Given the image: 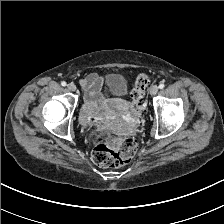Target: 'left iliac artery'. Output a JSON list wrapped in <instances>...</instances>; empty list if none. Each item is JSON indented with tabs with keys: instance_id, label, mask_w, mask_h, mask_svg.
<instances>
[{
	"instance_id": "left-iliac-artery-1",
	"label": "left iliac artery",
	"mask_w": 224,
	"mask_h": 224,
	"mask_svg": "<svg viewBox=\"0 0 224 224\" xmlns=\"http://www.w3.org/2000/svg\"><path fill=\"white\" fill-rule=\"evenodd\" d=\"M165 87V85L163 84V83H161L160 85H159V88L160 89H163Z\"/></svg>"
}]
</instances>
